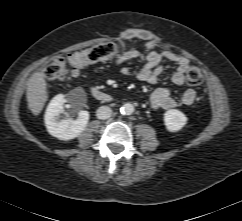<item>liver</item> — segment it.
<instances>
[{"mask_svg": "<svg viewBox=\"0 0 242 221\" xmlns=\"http://www.w3.org/2000/svg\"><path fill=\"white\" fill-rule=\"evenodd\" d=\"M26 97L28 108L31 110L33 115H39L48 100L47 83L43 72H35L29 78Z\"/></svg>", "mask_w": 242, "mask_h": 221, "instance_id": "obj_1", "label": "liver"}]
</instances>
